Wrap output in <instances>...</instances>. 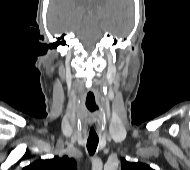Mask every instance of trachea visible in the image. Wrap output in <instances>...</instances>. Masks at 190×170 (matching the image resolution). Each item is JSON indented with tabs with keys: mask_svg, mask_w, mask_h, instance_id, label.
Instances as JSON below:
<instances>
[{
	"mask_svg": "<svg viewBox=\"0 0 190 170\" xmlns=\"http://www.w3.org/2000/svg\"><path fill=\"white\" fill-rule=\"evenodd\" d=\"M99 142L98 136L90 135L87 140V150L90 155H93L97 149Z\"/></svg>",
	"mask_w": 190,
	"mask_h": 170,
	"instance_id": "obj_1",
	"label": "trachea"
}]
</instances>
